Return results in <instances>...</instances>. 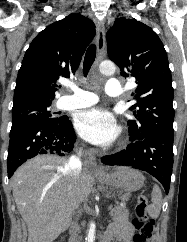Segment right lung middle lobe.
Instances as JSON below:
<instances>
[{"label":"right lung middle lobe","instance_id":"dd1d6c3e","mask_svg":"<svg viewBox=\"0 0 187 242\" xmlns=\"http://www.w3.org/2000/svg\"><path fill=\"white\" fill-rule=\"evenodd\" d=\"M51 102H31L12 108V127L24 123H61L66 117H53L49 110Z\"/></svg>","mask_w":187,"mask_h":242}]
</instances>
